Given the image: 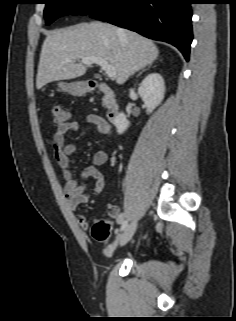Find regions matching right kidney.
<instances>
[{"label":"right kidney","instance_id":"ca27d5eb","mask_svg":"<svg viewBox=\"0 0 236 321\" xmlns=\"http://www.w3.org/2000/svg\"><path fill=\"white\" fill-rule=\"evenodd\" d=\"M138 93L147 107V114L152 113L164 99L165 83L162 76L156 72L148 74L140 83ZM114 125L119 134L126 131L129 121L123 112L116 116Z\"/></svg>","mask_w":236,"mask_h":321}]
</instances>
